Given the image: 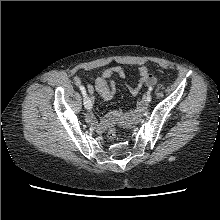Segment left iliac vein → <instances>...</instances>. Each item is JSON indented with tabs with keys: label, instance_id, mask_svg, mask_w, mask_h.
I'll return each instance as SVG.
<instances>
[{
	"label": "left iliac vein",
	"instance_id": "1",
	"mask_svg": "<svg viewBox=\"0 0 220 220\" xmlns=\"http://www.w3.org/2000/svg\"><path fill=\"white\" fill-rule=\"evenodd\" d=\"M147 98L152 99L151 94L148 93ZM147 98H146V101H147V103H149L150 101H148Z\"/></svg>",
	"mask_w": 220,
	"mask_h": 220
}]
</instances>
